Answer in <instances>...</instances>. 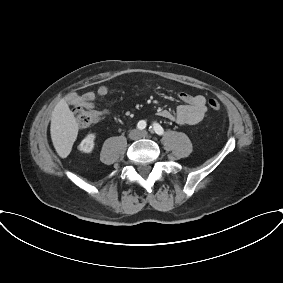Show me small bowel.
<instances>
[{"label": "small bowel", "instance_id": "small-bowel-1", "mask_svg": "<svg viewBox=\"0 0 283 283\" xmlns=\"http://www.w3.org/2000/svg\"><path fill=\"white\" fill-rule=\"evenodd\" d=\"M109 88L105 85L98 87L96 91H86L81 95H72L71 102L76 105L92 108L97 97H105ZM179 99L183 102L173 113L169 110L162 109L158 115L164 119L175 121L182 125L198 124L206 113V99L203 95H192L186 92L179 94ZM108 109L99 111L100 116H108Z\"/></svg>", "mask_w": 283, "mask_h": 283}]
</instances>
